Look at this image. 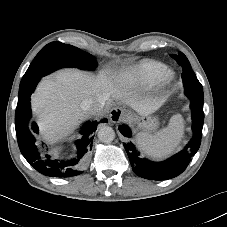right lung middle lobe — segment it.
Instances as JSON below:
<instances>
[{"mask_svg":"<svg viewBox=\"0 0 227 227\" xmlns=\"http://www.w3.org/2000/svg\"><path fill=\"white\" fill-rule=\"evenodd\" d=\"M96 66L97 62L91 54L68 44L52 42L36 55L24 74L20 87L59 68L77 67L92 70Z\"/></svg>","mask_w":227,"mask_h":227,"instance_id":"right-lung-middle-lobe-1","label":"right lung middle lobe"}]
</instances>
